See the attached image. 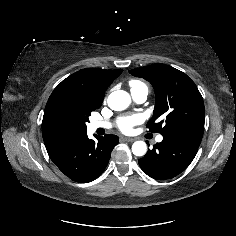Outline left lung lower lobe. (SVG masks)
Returning <instances> with one entry per match:
<instances>
[{
  "label": "left lung lower lobe",
  "mask_w": 236,
  "mask_h": 236,
  "mask_svg": "<svg viewBox=\"0 0 236 236\" xmlns=\"http://www.w3.org/2000/svg\"><path fill=\"white\" fill-rule=\"evenodd\" d=\"M203 132H177L163 136L152 150L140 159L141 169L157 180L171 179L183 172L194 159Z\"/></svg>",
  "instance_id": "0a47b994"
}]
</instances>
